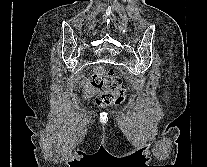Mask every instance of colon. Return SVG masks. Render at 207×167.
Here are the masks:
<instances>
[{
  "label": "colon",
  "instance_id": "obj_1",
  "mask_svg": "<svg viewBox=\"0 0 207 167\" xmlns=\"http://www.w3.org/2000/svg\"><path fill=\"white\" fill-rule=\"evenodd\" d=\"M91 84L102 89L97 98L99 104L119 103L124 99V87L121 80L101 68L97 69L91 76Z\"/></svg>",
  "mask_w": 207,
  "mask_h": 167
}]
</instances>
